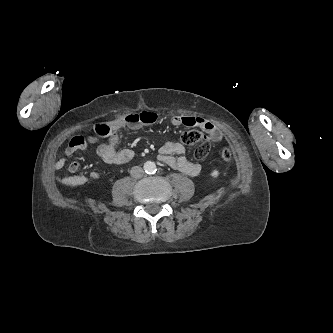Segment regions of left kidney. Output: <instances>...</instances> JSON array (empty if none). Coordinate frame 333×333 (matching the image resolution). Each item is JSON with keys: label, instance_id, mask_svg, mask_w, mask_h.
I'll return each instance as SVG.
<instances>
[{"label": "left kidney", "instance_id": "obj_1", "mask_svg": "<svg viewBox=\"0 0 333 333\" xmlns=\"http://www.w3.org/2000/svg\"><path fill=\"white\" fill-rule=\"evenodd\" d=\"M211 176H212L213 178H216V177L219 176V172H218L217 170H214V171H212Z\"/></svg>", "mask_w": 333, "mask_h": 333}]
</instances>
